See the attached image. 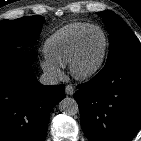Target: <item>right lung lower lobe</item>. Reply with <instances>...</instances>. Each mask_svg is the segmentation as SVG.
<instances>
[{
    "mask_svg": "<svg viewBox=\"0 0 141 141\" xmlns=\"http://www.w3.org/2000/svg\"><path fill=\"white\" fill-rule=\"evenodd\" d=\"M64 88L40 84L17 49L0 53V141H44L49 113Z\"/></svg>",
    "mask_w": 141,
    "mask_h": 141,
    "instance_id": "98d812e1",
    "label": "right lung lower lobe"
}]
</instances>
